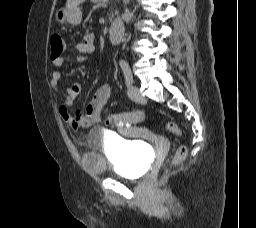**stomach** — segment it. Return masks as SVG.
Returning a JSON list of instances; mask_svg holds the SVG:
<instances>
[{
	"label": "stomach",
	"mask_w": 256,
	"mask_h": 228,
	"mask_svg": "<svg viewBox=\"0 0 256 228\" xmlns=\"http://www.w3.org/2000/svg\"><path fill=\"white\" fill-rule=\"evenodd\" d=\"M56 20L61 25L69 24L77 26L81 23L82 11L78 6H74L72 8H61L56 12Z\"/></svg>",
	"instance_id": "obj_1"
}]
</instances>
